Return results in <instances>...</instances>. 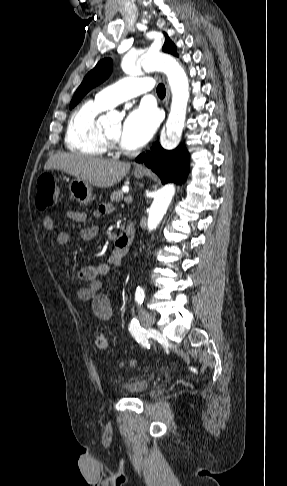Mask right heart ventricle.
Returning a JSON list of instances; mask_svg holds the SVG:
<instances>
[{
    "mask_svg": "<svg viewBox=\"0 0 287 486\" xmlns=\"http://www.w3.org/2000/svg\"><path fill=\"white\" fill-rule=\"evenodd\" d=\"M106 109L95 99L86 101L73 112L65 136L70 151L93 157L108 153L109 147L97 122L98 116Z\"/></svg>",
    "mask_w": 287,
    "mask_h": 486,
    "instance_id": "obj_1",
    "label": "right heart ventricle"
}]
</instances>
